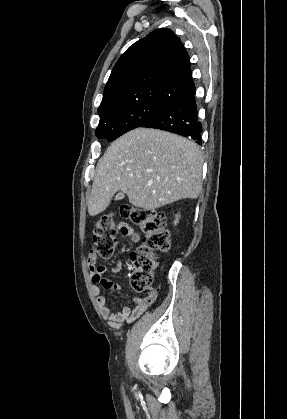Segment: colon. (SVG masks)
Masks as SVG:
<instances>
[{
  "mask_svg": "<svg viewBox=\"0 0 287 419\" xmlns=\"http://www.w3.org/2000/svg\"><path fill=\"white\" fill-rule=\"evenodd\" d=\"M121 215L130 220L143 232V244L139 250L132 251L130 258L134 272L131 284L134 291L141 293L149 289L153 281V272L157 266L156 252L170 247L169 232L166 229V216L154 209H141L123 206ZM118 226L114 214H103L93 230V251L103 258L113 256L117 246Z\"/></svg>",
  "mask_w": 287,
  "mask_h": 419,
  "instance_id": "1",
  "label": "colon"
}]
</instances>
